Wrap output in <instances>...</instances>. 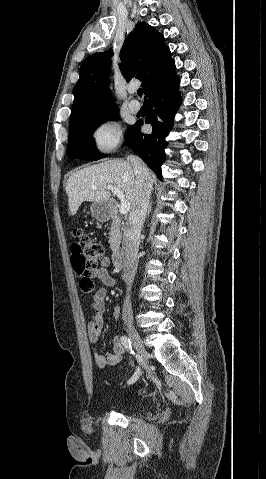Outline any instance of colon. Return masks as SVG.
Returning a JSON list of instances; mask_svg holds the SVG:
<instances>
[{
    "instance_id": "1",
    "label": "colon",
    "mask_w": 266,
    "mask_h": 479,
    "mask_svg": "<svg viewBox=\"0 0 266 479\" xmlns=\"http://www.w3.org/2000/svg\"><path fill=\"white\" fill-rule=\"evenodd\" d=\"M74 243L71 246V263L79 277L80 288L88 293L93 289V281L89 272L97 267L103 257V246L90 237L83 229L75 227L72 230Z\"/></svg>"
}]
</instances>
